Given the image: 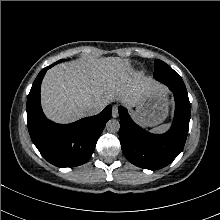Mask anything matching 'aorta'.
Instances as JSON below:
<instances>
[{"label":"aorta","instance_id":"obj_1","mask_svg":"<svg viewBox=\"0 0 220 220\" xmlns=\"http://www.w3.org/2000/svg\"><path fill=\"white\" fill-rule=\"evenodd\" d=\"M106 128L110 132H118L120 129V123L118 120L110 119L106 124Z\"/></svg>","mask_w":220,"mask_h":220}]
</instances>
